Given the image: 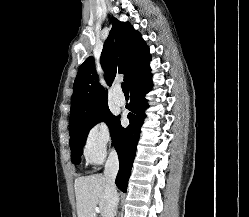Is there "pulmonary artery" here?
I'll return each mask as SVG.
<instances>
[{"label":"pulmonary artery","instance_id":"1","mask_svg":"<svg viewBox=\"0 0 249 217\" xmlns=\"http://www.w3.org/2000/svg\"><path fill=\"white\" fill-rule=\"evenodd\" d=\"M113 101L116 105L118 106H123L125 104V98L122 94L120 93H116L114 96H113Z\"/></svg>","mask_w":249,"mask_h":217}]
</instances>
